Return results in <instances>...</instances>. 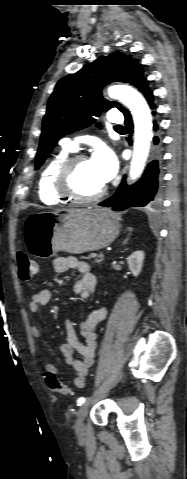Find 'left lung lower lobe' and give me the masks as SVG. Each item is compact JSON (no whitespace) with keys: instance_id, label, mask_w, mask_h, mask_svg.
<instances>
[{"instance_id":"0a47b994","label":"left lung lower lobe","mask_w":187,"mask_h":479,"mask_svg":"<svg viewBox=\"0 0 187 479\" xmlns=\"http://www.w3.org/2000/svg\"><path fill=\"white\" fill-rule=\"evenodd\" d=\"M138 89L144 94L150 107L154 109L153 96L145 79L140 82ZM122 113L125 116L126 130L129 134H132L133 123L130 112L125 109ZM152 114L155 115V112ZM153 128L154 130H158L156 121H154ZM153 141L155 145L154 160L148 164L142 178L133 186L129 187L125 184L124 176L123 182L116 193L101 202L99 204L100 206L111 207L114 211H123L129 207H144L147 205H155L159 202L162 184L161 140L155 136L153 137Z\"/></svg>"}]
</instances>
